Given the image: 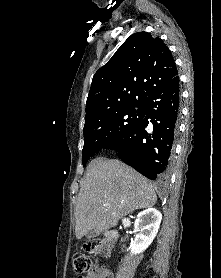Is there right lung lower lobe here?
<instances>
[{"mask_svg":"<svg viewBox=\"0 0 221 278\" xmlns=\"http://www.w3.org/2000/svg\"><path fill=\"white\" fill-rule=\"evenodd\" d=\"M144 117L119 142L104 148L117 149L119 158L151 180L169 174L180 113L179 77L153 90L144 100ZM153 128L149 130V121Z\"/></svg>","mask_w":221,"mask_h":278,"instance_id":"1","label":"right lung lower lobe"}]
</instances>
